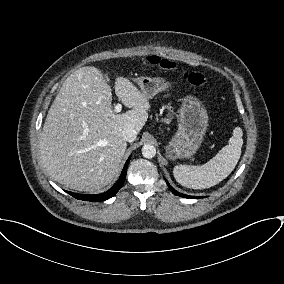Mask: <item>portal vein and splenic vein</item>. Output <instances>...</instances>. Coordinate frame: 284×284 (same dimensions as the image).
<instances>
[{
  "mask_svg": "<svg viewBox=\"0 0 284 284\" xmlns=\"http://www.w3.org/2000/svg\"><path fill=\"white\" fill-rule=\"evenodd\" d=\"M122 110V105L121 104H116L114 108V112L119 113Z\"/></svg>",
  "mask_w": 284,
  "mask_h": 284,
  "instance_id": "portal-vein-and-splenic-vein-1",
  "label": "portal vein and splenic vein"
}]
</instances>
